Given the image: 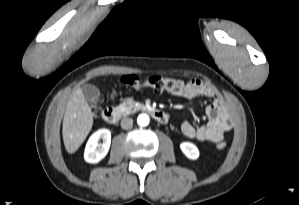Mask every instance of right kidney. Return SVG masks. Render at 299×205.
<instances>
[{"label": "right kidney", "mask_w": 299, "mask_h": 205, "mask_svg": "<svg viewBox=\"0 0 299 205\" xmlns=\"http://www.w3.org/2000/svg\"><path fill=\"white\" fill-rule=\"evenodd\" d=\"M102 139V143H99ZM111 144V132L108 129H99L94 132L85 147L84 159L88 163H98L108 153Z\"/></svg>", "instance_id": "right-kidney-1"}]
</instances>
